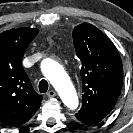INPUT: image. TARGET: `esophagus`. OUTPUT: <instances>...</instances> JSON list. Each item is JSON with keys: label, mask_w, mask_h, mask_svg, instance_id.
Wrapping results in <instances>:
<instances>
[{"label": "esophagus", "mask_w": 133, "mask_h": 133, "mask_svg": "<svg viewBox=\"0 0 133 133\" xmlns=\"http://www.w3.org/2000/svg\"><path fill=\"white\" fill-rule=\"evenodd\" d=\"M47 96L49 98H52V97H55L56 96V92L54 90H50L48 93H47Z\"/></svg>", "instance_id": "obj_1"}]
</instances>
